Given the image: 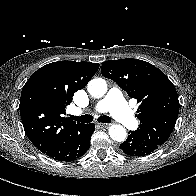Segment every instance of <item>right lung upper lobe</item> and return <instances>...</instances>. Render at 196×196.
Here are the masks:
<instances>
[{"label": "right lung upper lobe", "mask_w": 196, "mask_h": 196, "mask_svg": "<svg viewBox=\"0 0 196 196\" xmlns=\"http://www.w3.org/2000/svg\"><path fill=\"white\" fill-rule=\"evenodd\" d=\"M99 66L75 61L50 63L34 72L24 85L19 105L23 127L42 153L81 125L62 115L74 93L87 85Z\"/></svg>", "instance_id": "right-lung-upper-lobe-1"}]
</instances>
